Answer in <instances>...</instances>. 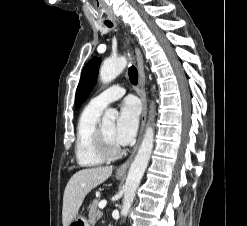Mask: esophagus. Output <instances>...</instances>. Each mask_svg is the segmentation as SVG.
Returning <instances> with one entry per match:
<instances>
[{
    "label": "esophagus",
    "mask_w": 247,
    "mask_h": 226,
    "mask_svg": "<svg viewBox=\"0 0 247 226\" xmlns=\"http://www.w3.org/2000/svg\"><path fill=\"white\" fill-rule=\"evenodd\" d=\"M136 52V60H137V66H138V74H139V87H138V94L142 102V117H141V127H140V133L139 138L137 141V144L135 145L131 155L129 158L117 169V174L123 175L126 173L132 158L139 146V143L141 141V138L143 136V132L145 129L146 124V118H147V97L145 92V73H144V60L143 55L138 47L135 48Z\"/></svg>",
    "instance_id": "1"
}]
</instances>
